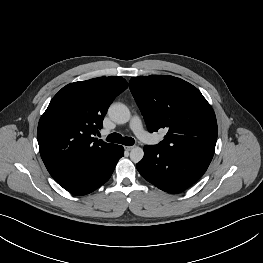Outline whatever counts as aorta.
Instances as JSON below:
<instances>
[{
	"mask_svg": "<svg viewBox=\"0 0 263 263\" xmlns=\"http://www.w3.org/2000/svg\"><path fill=\"white\" fill-rule=\"evenodd\" d=\"M109 117L118 124L127 123L131 114L128 107L122 103H113L108 110ZM144 156V151L141 147H134L130 152V159L134 163H138L142 160Z\"/></svg>",
	"mask_w": 263,
	"mask_h": 263,
	"instance_id": "1",
	"label": "aorta"
}]
</instances>
